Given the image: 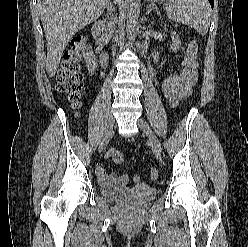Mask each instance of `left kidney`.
<instances>
[{
  "mask_svg": "<svg viewBox=\"0 0 248 247\" xmlns=\"http://www.w3.org/2000/svg\"><path fill=\"white\" fill-rule=\"evenodd\" d=\"M171 36H172V44L170 45L169 49L172 50L173 52H177L181 44V40L179 39V37L175 32H172Z\"/></svg>",
  "mask_w": 248,
  "mask_h": 247,
  "instance_id": "5707ae66",
  "label": "left kidney"
}]
</instances>
